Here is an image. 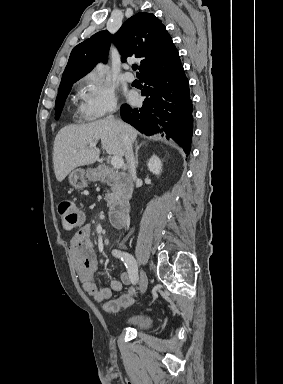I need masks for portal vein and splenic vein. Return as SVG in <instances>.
<instances>
[{"mask_svg":"<svg viewBox=\"0 0 283 384\" xmlns=\"http://www.w3.org/2000/svg\"><path fill=\"white\" fill-rule=\"evenodd\" d=\"M95 146L96 144H89V148H95ZM74 152H77V150H74ZM111 164L113 168H116V170H120V168H122L124 164L123 158H121V156H113Z\"/></svg>","mask_w":283,"mask_h":384,"instance_id":"1","label":"portal vein and splenic vein"}]
</instances>
